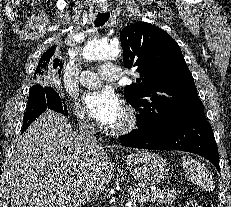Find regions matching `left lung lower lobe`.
<instances>
[{"mask_svg":"<svg viewBox=\"0 0 231 207\" xmlns=\"http://www.w3.org/2000/svg\"><path fill=\"white\" fill-rule=\"evenodd\" d=\"M123 145L153 150H180L208 159L218 171L219 155L204 112L182 116L156 132L136 130L120 137Z\"/></svg>","mask_w":231,"mask_h":207,"instance_id":"obj_1","label":"left lung lower lobe"}]
</instances>
